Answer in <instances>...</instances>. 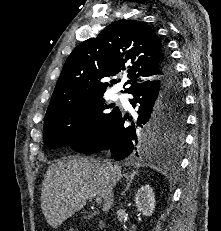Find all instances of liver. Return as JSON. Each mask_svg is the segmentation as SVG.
Listing matches in <instances>:
<instances>
[{"label": "liver", "mask_w": 221, "mask_h": 231, "mask_svg": "<svg viewBox=\"0 0 221 231\" xmlns=\"http://www.w3.org/2000/svg\"><path fill=\"white\" fill-rule=\"evenodd\" d=\"M122 177L119 165L94 158L64 157L51 164L41 189V209L48 224L57 228L93 197H100L103 211L108 212L113 189Z\"/></svg>", "instance_id": "obj_1"}]
</instances>
